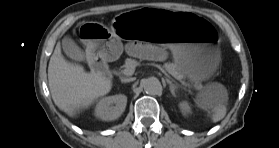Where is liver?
<instances>
[{
    "label": "liver",
    "mask_w": 279,
    "mask_h": 148,
    "mask_svg": "<svg viewBox=\"0 0 279 148\" xmlns=\"http://www.w3.org/2000/svg\"><path fill=\"white\" fill-rule=\"evenodd\" d=\"M48 81L52 99L70 117L108 94L112 81L103 72H86L80 64L69 62L58 43L50 58Z\"/></svg>",
    "instance_id": "liver-1"
}]
</instances>
